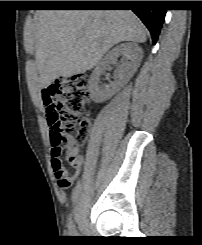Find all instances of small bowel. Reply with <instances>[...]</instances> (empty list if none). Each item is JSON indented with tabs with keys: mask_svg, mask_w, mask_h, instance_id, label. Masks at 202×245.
Segmentation results:
<instances>
[{
	"mask_svg": "<svg viewBox=\"0 0 202 245\" xmlns=\"http://www.w3.org/2000/svg\"><path fill=\"white\" fill-rule=\"evenodd\" d=\"M56 93L57 90L53 85L44 88L41 92V98L49 116L54 112L57 97ZM64 152H66L69 156H74L75 158V163L72 165V171H69L66 168L63 158ZM78 153L79 150L75 145L74 139L72 138H68L67 141L60 147L51 146V167L54 172L58 188L61 190L68 189L80 174L81 159L79 158Z\"/></svg>",
	"mask_w": 202,
	"mask_h": 245,
	"instance_id": "c3829d8e",
	"label": "small bowel"
}]
</instances>
